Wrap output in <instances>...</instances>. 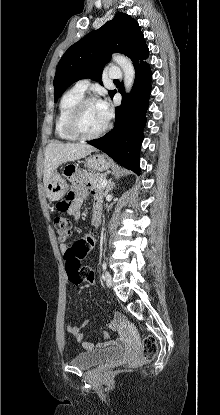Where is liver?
Instances as JSON below:
<instances>
[{"label": "liver", "instance_id": "1", "mask_svg": "<svg viewBox=\"0 0 220 415\" xmlns=\"http://www.w3.org/2000/svg\"><path fill=\"white\" fill-rule=\"evenodd\" d=\"M94 151H96L94 147L85 143H50L45 150L43 173L45 188L55 170L62 163L84 158Z\"/></svg>", "mask_w": 220, "mask_h": 415}]
</instances>
